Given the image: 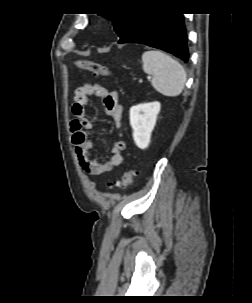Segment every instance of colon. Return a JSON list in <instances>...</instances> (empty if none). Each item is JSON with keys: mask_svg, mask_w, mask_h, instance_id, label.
Here are the masks:
<instances>
[{"mask_svg": "<svg viewBox=\"0 0 252 303\" xmlns=\"http://www.w3.org/2000/svg\"><path fill=\"white\" fill-rule=\"evenodd\" d=\"M75 65L78 68L89 71L94 75L107 76L109 74V70L106 66L92 60L80 59L75 62ZM136 174V168H129L118 181H116L114 184H111L109 187L125 188L133 181Z\"/></svg>", "mask_w": 252, "mask_h": 303, "instance_id": "obj_1", "label": "colon"}]
</instances>
